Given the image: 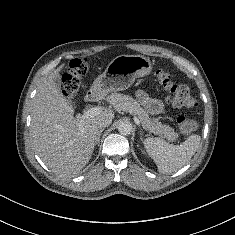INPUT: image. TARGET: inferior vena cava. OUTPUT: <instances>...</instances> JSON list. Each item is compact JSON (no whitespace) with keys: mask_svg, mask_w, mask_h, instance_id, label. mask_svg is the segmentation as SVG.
<instances>
[{"mask_svg":"<svg viewBox=\"0 0 235 235\" xmlns=\"http://www.w3.org/2000/svg\"><path fill=\"white\" fill-rule=\"evenodd\" d=\"M112 120L110 118H102L98 121V128H105L111 124Z\"/></svg>","mask_w":235,"mask_h":235,"instance_id":"obj_1","label":"inferior vena cava"}]
</instances>
